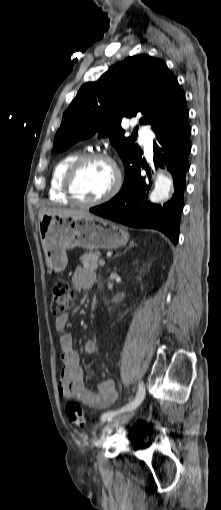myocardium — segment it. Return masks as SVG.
<instances>
[{"label":"myocardium","mask_w":221,"mask_h":510,"mask_svg":"<svg viewBox=\"0 0 221 510\" xmlns=\"http://www.w3.org/2000/svg\"><path fill=\"white\" fill-rule=\"evenodd\" d=\"M92 160H102L111 165L115 174V181L113 187L110 189L108 193L104 196L92 200V201H84L80 199L75 190H74V182L80 171V169L89 161ZM122 186V173L117 164V162L111 157L109 154L104 152H87L79 155L75 161L70 165L68 170L65 173L63 180V192L65 196L75 205L81 207H94L101 204H104L110 200H112L120 191Z\"/></svg>","instance_id":"1"}]
</instances>
